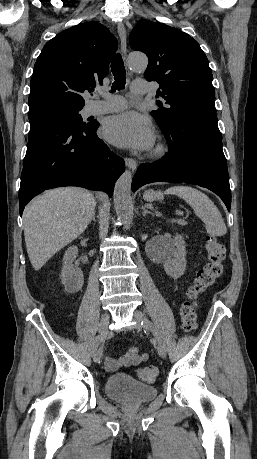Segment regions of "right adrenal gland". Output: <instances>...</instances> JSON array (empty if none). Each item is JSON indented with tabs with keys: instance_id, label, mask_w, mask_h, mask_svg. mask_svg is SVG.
Returning a JSON list of instances; mask_svg holds the SVG:
<instances>
[{
	"instance_id": "1",
	"label": "right adrenal gland",
	"mask_w": 257,
	"mask_h": 459,
	"mask_svg": "<svg viewBox=\"0 0 257 459\" xmlns=\"http://www.w3.org/2000/svg\"><path fill=\"white\" fill-rule=\"evenodd\" d=\"M95 213H96V212L94 211V212H93V214H92V217H91L90 223H91V221H95Z\"/></svg>"
}]
</instances>
